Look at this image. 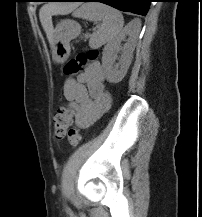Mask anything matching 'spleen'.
Here are the masks:
<instances>
[{
	"label": "spleen",
	"mask_w": 202,
	"mask_h": 217,
	"mask_svg": "<svg viewBox=\"0 0 202 217\" xmlns=\"http://www.w3.org/2000/svg\"><path fill=\"white\" fill-rule=\"evenodd\" d=\"M74 17L89 21H101L98 30L90 38L89 46L98 48L116 37L123 28L124 19L120 11L102 3L83 4L73 13ZM140 28V25H138Z\"/></svg>",
	"instance_id": "1"
}]
</instances>
